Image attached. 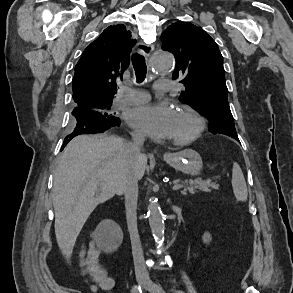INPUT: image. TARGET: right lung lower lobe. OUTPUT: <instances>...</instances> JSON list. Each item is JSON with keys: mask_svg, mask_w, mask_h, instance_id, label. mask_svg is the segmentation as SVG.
Here are the masks:
<instances>
[{"mask_svg": "<svg viewBox=\"0 0 293 293\" xmlns=\"http://www.w3.org/2000/svg\"><path fill=\"white\" fill-rule=\"evenodd\" d=\"M72 115L74 116L75 128L72 133L65 137L61 150L77 135L103 132L120 124V120L117 117L105 116L103 113L95 110L75 108Z\"/></svg>", "mask_w": 293, "mask_h": 293, "instance_id": "1", "label": "right lung lower lobe"}]
</instances>
